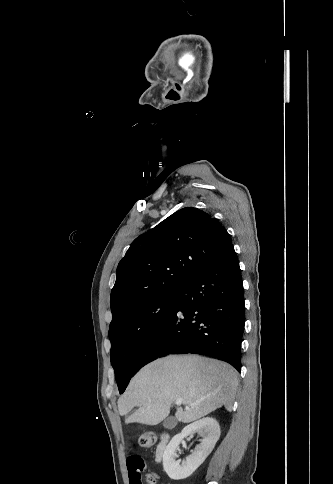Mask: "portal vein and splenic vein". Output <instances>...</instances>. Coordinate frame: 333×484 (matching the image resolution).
I'll list each match as a JSON object with an SVG mask.
<instances>
[{"label": "portal vein and splenic vein", "instance_id": "portal-vein-and-splenic-vein-1", "mask_svg": "<svg viewBox=\"0 0 333 484\" xmlns=\"http://www.w3.org/2000/svg\"><path fill=\"white\" fill-rule=\"evenodd\" d=\"M181 403H182V399H180V398L179 399H176V401H175V404L176 405H180Z\"/></svg>", "mask_w": 333, "mask_h": 484}]
</instances>
